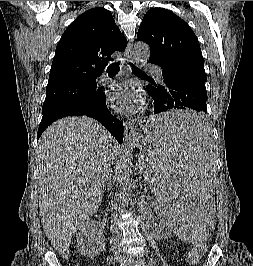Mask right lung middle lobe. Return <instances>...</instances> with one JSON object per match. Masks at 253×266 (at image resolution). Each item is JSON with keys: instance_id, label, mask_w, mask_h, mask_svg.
Wrapping results in <instances>:
<instances>
[{"instance_id": "right-lung-middle-lobe-1", "label": "right lung middle lobe", "mask_w": 253, "mask_h": 266, "mask_svg": "<svg viewBox=\"0 0 253 266\" xmlns=\"http://www.w3.org/2000/svg\"><path fill=\"white\" fill-rule=\"evenodd\" d=\"M102 98L103 91L97 88L96 80L47 87L41 123H49L60 117L76 115L91 109Z\"/></svg>"}]
</instances>
